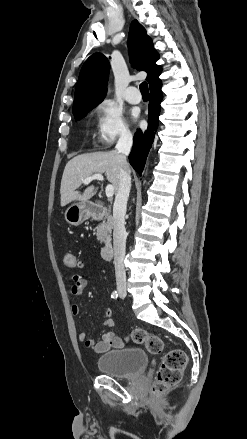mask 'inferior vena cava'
Returning <instances> with one entry per match:
<instances>
[{
	"label": "inferior vena cava",
	"instance_id": "obj_1",
	"mask_svg": "<svg viewBox=\"0 0 247 439\" xmlns=\"http://www.w3.org/2000/svg\"><path fill=\"white\" fill-rule=\"evenodd\" d=\"M131 147L132 135L129 131H123L116 145L120 161V183L113 206L114 265L118 290L126 288L124 257L127 234L124 217L131 188V176L126 157L129 155Z\"/></svg>",
	"mask_w": 247,
	"mask_h": 439
}]
</instances>
